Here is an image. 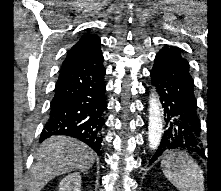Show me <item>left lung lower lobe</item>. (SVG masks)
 Returning a JSON list of instances; mask_svg holds the SVG:
<instances>
[{"instance_id":"obj_1","label":"left lung lower lobe","mask_w":221,"mask_h":191,"mask_svg":"<svg viewBox=\"0 0 221 191\" xmlns=\"http://www.w3.org/2000/svg\"><path fill=\"white\" fill-rule=\"evenodd\" d=\"M150 76L160 95L166 125L149 163L176 149L203 155L201 125L189 63L175 48L166 45L157 53Z\"/></svg>"}]
</instances>
